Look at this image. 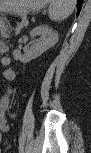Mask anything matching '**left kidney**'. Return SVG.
<instances>
[{
    "label": "left kidney",
    "instance_id": "1",
    "mask_svg": "<svg viewBox=\"0 0 91 153\" xmlns=\"http://www.w3.org/2000/svg\"><path fill=\"white\" fill-rule=\"evenodd\" d=\"M34 33H41L45 38L42 42H39L27 52L28 58H33L43 53L45 50L51 47L57 40V33L48 25L36 27L34 29Z\"/></svg>",
    "mask_w": 91,
    "mask_h": 153
}]
</instances>
